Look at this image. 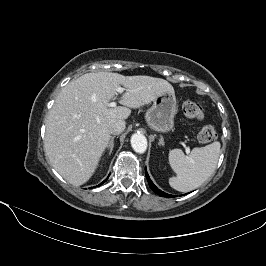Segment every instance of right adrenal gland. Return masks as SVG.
<instances>
[{"label": "right adrenal gland", "instance_id": "right-adrenal-gland-1", "mask_svg": "<svg viewBox=\"0 0 266 266\" xmlns=\"http://www.w3.org/2000/svg\"><path fill=\"white\" fill-rule=\"evenodd\" d=\"M116 136H112L111 137V140L109 142V145L107 147L108 151H109V155L112 153L113 151V148H114V139H115Z\"/></svg>", "mask_w": 266, "mask_h": 266}]
</instances>
